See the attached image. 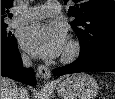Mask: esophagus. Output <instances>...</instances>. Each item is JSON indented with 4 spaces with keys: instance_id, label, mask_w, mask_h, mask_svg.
I'll return each mask as SVG.
<instances>
[{
    "instance_id": "obj_1",
    "label": "esophagus",
    "mask_w": 115,
    "mask_h": 99,
    "mask_svg": "<svg viewBox=\"0 0 115 99\" xmlns=\"http://www.w3.org/2000/svg\"><path fill=\"white\" fill-rule=\"evenodd\" d=\"M38 74L45 80H49L51 77V72L48 67L44 65H39L38 68Z\"/></svg>"
}]
</instances>
